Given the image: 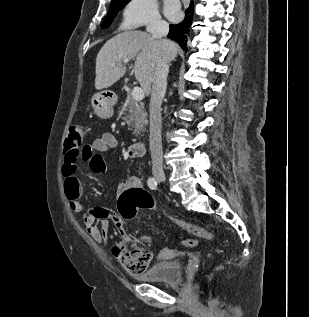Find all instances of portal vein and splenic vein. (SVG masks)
<instances>
[{
  "mask_svg": "<svg viewBox=\"0 0 309 317\" xmlns=\"http://www.w3.org/2000/svg\"><path fill=\"white\" fill-rule=\"evenodd\" d=\"M128 59H125L123 62L124 63H128ZM132 97L133 99H135L136 101H140L144 98V92L140 87H134L132 89Z\"/></svg>",
  "mask_w": 309,
  "mask_h": 317,
  "instance_id": "18ae733b",
  "label": "portal vein and splenic vein"
}]
</instances>
